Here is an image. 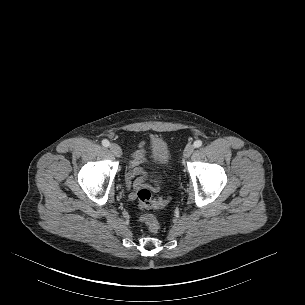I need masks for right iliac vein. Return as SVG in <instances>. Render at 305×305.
<instances>
[{
  "label": "right iliac vein",
  "mask_w": 305,
  "mask_h": 305,
  "mask_svg": "<svg viewBox=\"0 0 305 305\" xmlns=\"http://www.w3.org/2000/svg\"><path fill=\"white\" fill-rule=\"evenodd\" d=\"M109 148L116 157H120L122 155V150L119 145L112 143Z\"/></svg>",
  "instance_id": "63e3f726"
}]
</instances>
